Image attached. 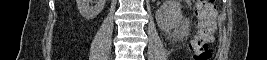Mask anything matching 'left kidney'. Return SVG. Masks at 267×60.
I'll list each match as a JSON object with an SVG mask.
<instances>
[{
    "label": "left kidney",
    "instance_id": "5707ae66",
    "mask_svg": "<svg viewBox=\"0 0 267 60\" xmlns=\"http://www.w3.org/2000/svg\"><path fill=\"white\" fill-rule=\"evenodd\" d=\"M155 17L160 29L163 31L171 30L177 21L182 19L181 5L174 0H166L156 12Z\"/></svg>",
    "mask_w": 267,
    "mask_h": 60
}]
</instances>
